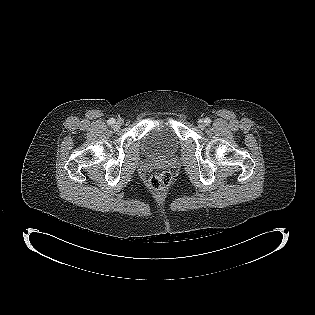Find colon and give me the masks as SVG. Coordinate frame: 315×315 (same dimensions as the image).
Instances as JSON below:
<instances>
[{"label":"colon","mask_w":315,"mask_h":315,"mask_svg":"<svg viewBox=\"0 0 315 315\" xmlns=\"http://www.w3.org/2000/svg\"><path fill=\"white\" fill-rule=\"evenodd\" d=\"M172 179L170 171H158L151 175L149 184L155 190H163L171 184Z\"/></svg>","instance_id":"5ec220e1"}]
</instances>
